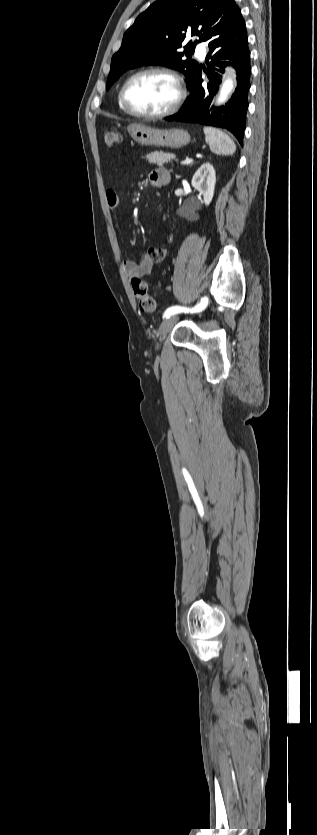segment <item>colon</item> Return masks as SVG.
Masks as SVG:
<instances>
[{
	"label": "colon",
	"mask_w": 317,
	"mask_h": 835,
	"mask_svg": "<svg viewBox=\"0 0 317 835\" xmlns=\"http://www.w3.org/2000/svg\"><path fill=\"white\" fill-rule=\"evenodd\" d=\"M103 139L105 146L112 148L120 141V135L112 129H107L103 132ZM148 254L156 261L164 260L170 253L167 247H150L147 250ZM132 290L140 310L144 312H153L156 307L155 300L148 293V285L141 278H133L131 280Z\"/></svg>",
	"instance_id": "1"
}]
</instances>
